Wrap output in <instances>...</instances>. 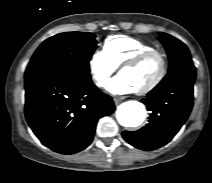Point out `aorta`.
I'll list each match as a JSON object with an SVG mask.
<instances>
[{
    "label": "aorta",
    "mask_w": 212,
    "mask_h": 183,
    "mask_svg": "<svg viewBox=\"0 0 212 183\" xmlns=\"http://www.w3.org/2000/svg\"><path fill=\"white\" fill-rule=\"evenodd\" d=\"M116 117L124 127H137L146 117L144 105L137 101H127L118 107Z\"/></svg>",
    "instance_id": "aorta-1"
}]
</instances>
